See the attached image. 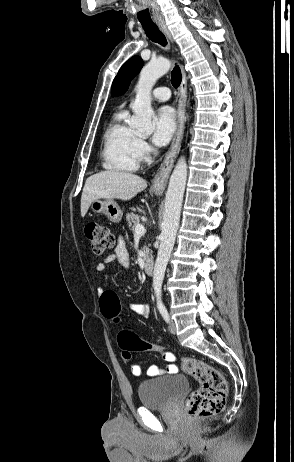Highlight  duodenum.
<instances>
[{
	"label": "duodenum",
	"instance_id": "410a0bca",
	"mask_svg": "<svg viewBox=\"0 0 294 462\" xmlns=\"http://www.w3.org/2000/svg\"><path fill=\"white\" fill-rule=\"evenodd\" d=\"M144 271L147 274H152L154 271V260L152 257H146L144 259Z\"/></svg>",
	"mask_w": 294,
	"mask_h": 462
}]
</instances>
